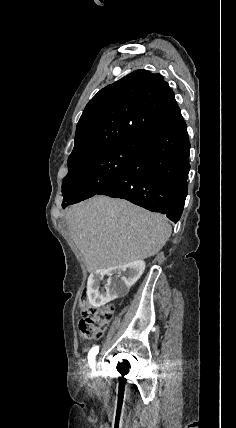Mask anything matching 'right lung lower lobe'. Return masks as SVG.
I'll use <instances>...</instances> for the list:
<instances>
[{"instance_id":"1","label":"right lung lower lobe","mask_w":236,"mask_h":428,"mask_svg":"<svg viewBox=\"0 0 236 428\" xmlns=\"http://www.w3.org/2000/svg\"><path fill=\"white\" fill-rule=\"evenodd\" d=\"M137 142L131 162L97 194L126 199L176 223L183 212L190 169V142L180 109Z\"/></svg>"}]
</instances>
